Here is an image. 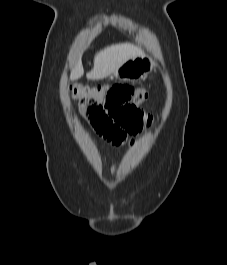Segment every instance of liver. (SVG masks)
Returning <instances> with one entry per match:
<instances>
[{
	"label": "liver",
	"instance_id": "obj_1",
	"mask_svg": "<svg viewBox=\"0 0 227 265\" xmlns=\"http://www.w3.org/2000/svg\"><path fill=\"white\" fill-rule=\"evenodd\" d=\"M142 54V50L130 43L113 44L96 53L94 67L86 74L90 80L104 79L114 73L123 63ZM84 74L81 61L71 71L70 79L77 80Z\"/></svg>",
	"mask_w": 227,
	"mask_h": 265
}]
</instances>
